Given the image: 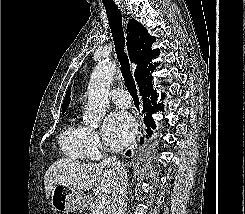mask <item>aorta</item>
I'll list each match as a JSON object with an SVG mask.
<instances>
[{
    "label": "aorta",
    "instance_id": "aorta-1",
    "mask_svg": "<svg viewBox=\"0 0 245 214\" xmlns=\"http://www.w3.org/2000/svg\"><path fill=\"white\" fill-rule=\"evenodd\" d=\"M113 61L99 63L91 74L87 88L88 102L83 121L90 127H98L109 107V88L115 74Z\"/></svg>",
    "mask_w": 245,
    "mask_h": 214
}]
</instances>
